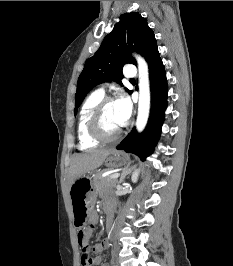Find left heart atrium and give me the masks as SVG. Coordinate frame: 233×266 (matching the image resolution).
Masks as SVG:
<instances>
[{
  "label": "left heart atrium",
  "instance_id": "left-heart-atrium-1",
  "mask_svg": "<svg viewBox=\"0 0 233 266\" xmlns=\"http://www.w3.org/2000/svg\"><path fill=\"white\" fill-rule=\"evenodd\" d=\"M117 107L118 121L120 126H124L132 112V105L130 100L126 96H122L115 101Z\"/></svg>",
  "mask_w": 233,
  "mask_h": 266
}]
</instances>
